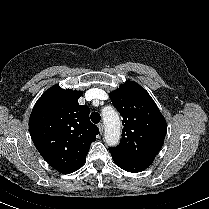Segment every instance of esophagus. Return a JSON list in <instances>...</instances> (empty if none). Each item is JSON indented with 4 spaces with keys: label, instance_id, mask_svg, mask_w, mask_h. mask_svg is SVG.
<instances>
[{
    "label": "esophagus",
    "instance_id": "34e87169",
    "mask_svg": "<svg viewBox=\"0 0 209 209\" xmlns=\"http://www.w3.org/2000/svg\"><path fill=\"white\" fill-rule=\"evenodd\" d=\"M98 128H99L100 133H102L103 130H104V125H103V123H99V124H98Z\"/></svg>",
    "mask_w": 209,
    "mask_h": 209
}]
</instances>
